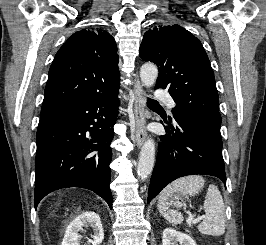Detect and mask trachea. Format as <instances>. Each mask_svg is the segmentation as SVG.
I'll list each match as a JSON object with an SVG mask.
<instances>
[{"label": "trachea", "mask_w": 266, "mask_h": 245, "mask_svg": "<svg viewBox=\"0 0 266 245\" xmlns=\"http://www.w3.org/2000/svg\"><path fill=\"white\" fill-rule=\"evenodd\" d=\"M158 102L156 100L149 99L148 100V105H156Z\"/></svg>", "instance_id": "trachea-1"}]
</instances>
